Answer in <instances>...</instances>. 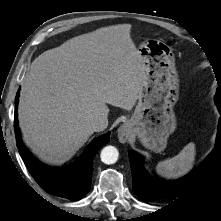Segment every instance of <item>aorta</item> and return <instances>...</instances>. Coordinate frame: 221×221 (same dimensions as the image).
I'll return each instance as SVG.
<instances>
[{
    "label": "aorta",
    "mask_w": 221,
    "mask_h": 221,
    "mask_svg": "<svg viewBox=\"0 0 221 221\" xmlns=\"http://www.w3.org/2000/svg\"><path fill=\"white\" fill-rule=\"evenodd\" d=\"M118 150L114 146H106L102 149L100 157L105 164H114L118 160Z\"/></svg>",
    "instance_id": "aorta-1"
}]
</instances>
